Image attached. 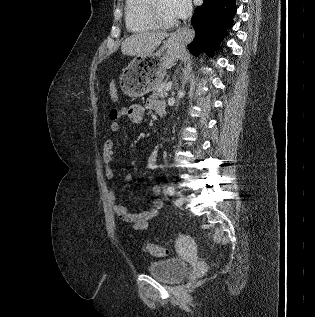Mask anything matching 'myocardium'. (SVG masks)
Returning <instances> with one entry per match:
<instances>
[{
  "label": "myocardium",
  "mask_w": 315,
  "mask_h": 317,
  "mask_svg": "<svg viewBox=\"0 0 315 317\" xmlns=\"http://www.w3.org/2000/svg\"><path fill=\"white\" fill-rule=\"evenodd\" d=\"M145 10L148 20L155 28L169 29L178 25V20L164 22L159 18L156 8V0H147Z\"/></svg>",
  "instance_id": "1"
}]
</instances>
